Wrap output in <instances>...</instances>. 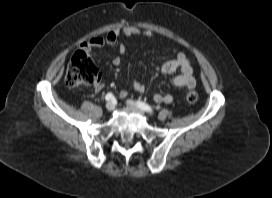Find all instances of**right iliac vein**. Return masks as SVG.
Wrapping results in <instances>:
<instances>
[{"instance_id": "63e3f726", "label": "right iliac vein", "mask_w": 272, "mask_h": 198, "mask_svg": "<svg viewBox=\"0 0 272 198\" xmlns=\"http://www.w3.org/2000/svg\"><path fill=\"white\" fill-rule=\"evenodd\" d=\"M114 108H115V105H114L112 102H107V104H106V109H107L108 111H113Z\"/></svg>"}]
</instances>
